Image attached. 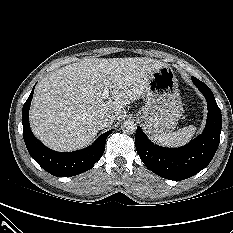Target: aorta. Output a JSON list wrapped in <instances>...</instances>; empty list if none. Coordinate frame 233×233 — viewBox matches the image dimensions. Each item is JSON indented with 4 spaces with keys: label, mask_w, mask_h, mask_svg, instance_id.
Returning <instances> with one entry per match:
<instances>
[{
    "label": "aorta",
    "mask_w": 233,
    "mask_h": 233,
    "mask_svg": "<svg viewBox=\"0 0 233 233\" xmlns=\"http://www.w3.org/2000/svg\"><path fill=\"white\" fill-rule=\"evenodd\" d=\"M121 129L124 133L133 134L136 132V123L130 120L124 121L121 125Z\"/></svg>",
    "instance_id": "1"
}]
</instances>
